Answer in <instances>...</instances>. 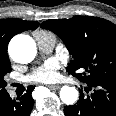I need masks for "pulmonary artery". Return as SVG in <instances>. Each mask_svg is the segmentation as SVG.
<instances>
[{
    "mask_svg": "<svg viewBox=\"0 0 116 116\" xmlns=\"http://www.w3.org/2000/svg\"><path fill=\"white\" fill-rule=\"evenodd\" d=\"M36 38V37H35ZM38 46L43 52H50L55 46V39L36 38Z\"/></svg>",
    "mask_w": 116,
    "mask_h": 116,
    "instance_id": "1",
    "label": "pulmonary artery"
}]
</instances>
